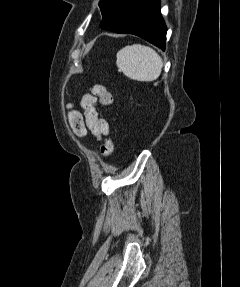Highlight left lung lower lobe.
<instances>
[{"label": "left lung lower lobe", "mask_w": 240, "mask_h": 287, "mask_svg": "<svg viewBox=\"0 0 240 287\" xmlns=\"http://www.w3.org/2000/svg\"><path fill=\"white\" fill-rule=\"evenodd\" d=\"M100 28L134 34L165 50L166 32L159 0H108Z\"/></svg>", "instance_id": "1"}]
</instances>
